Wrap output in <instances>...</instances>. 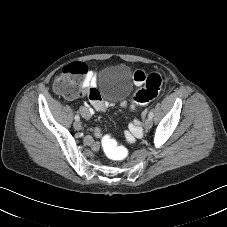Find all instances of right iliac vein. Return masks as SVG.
I'll return each instance as SVG.
<instances>
[{"label": "right iliac vein", "mask_w": 227, "mask_h": 227, "mask_svg": "<svg viewBox=\"0 0 227 227\" xmlns=\"http://www.w3.org/2000/svg\"><path fill=\"white\" fill-rule=\"evenodd\" d=\"M73 127L75 130H81V123L79 121L74 122Z\"/></svg>", "instance_id": "right-iliac-vein-1"}]
</instances>
